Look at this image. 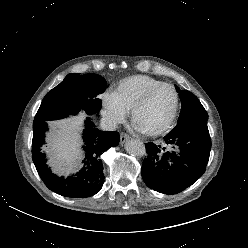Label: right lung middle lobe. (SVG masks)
Masks as SVG:
<instances>
[{
    "label": "right lung middle lobe",
    "instance_id": "right-lung-middle-lobe-1",
    "mask_svg": "<svg viewBox=\"0 0 248 248\" xmlns=\"http://www.w3.org/2000/svg\"><path fill=\"white\" fill-rule=\"evenodd\" d=\"M106 88V81L97 74H69L44 97L34 122L56 120L84 110L88 115L98 114Z\"/></svg>",
    "mask_w": 248,
    "mask_h": 248
}]
</instances>
